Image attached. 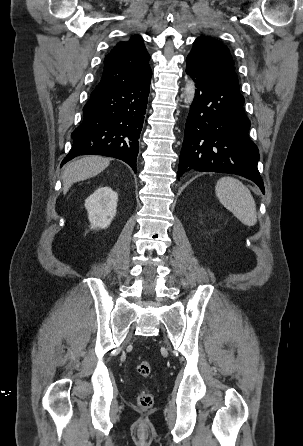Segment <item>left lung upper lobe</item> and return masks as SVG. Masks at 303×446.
<instances>
[{
	"label": "left lung upper lobe",
	"mask_w": 303,
	"mask_h": 446,
	"mask_svg": "<svg viewBox=\"0 0 303 446\" xmlns=\"http://www.w3.org/2000/svg\"><path fill=\"white\" fill-rule=\"evenodd\" d=\"M187 59L205 71L221 77L232 86L240 88L231 53L227 46L215 38L198 37Z\"/></svg>",
	"instance_id": "left-lung-upper-lobe-1"
}]
</instances>
